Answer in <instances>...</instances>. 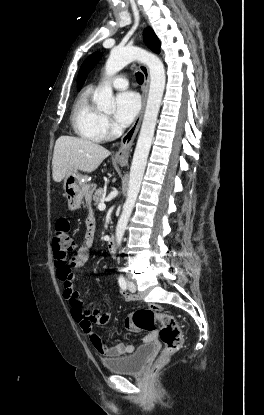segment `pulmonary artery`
<instances>
[{"mask_svg":"<svg viewBox=\"0 0 264 415\" xmlns=\"http://www.w3.org/2000/svg\"><path fill=\"white\" fill-rule=\"evenodd\" d=\"M111 85L115 89L124 90L128 88L129 81L125 75H118L112 79Z\"/></svg>","mask_w":264,"mask_h":415,"instance_id":"e3ab8cb5","label":"pulmonary artery"}]
</instances>
